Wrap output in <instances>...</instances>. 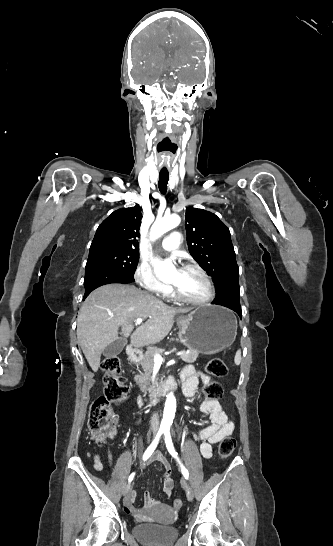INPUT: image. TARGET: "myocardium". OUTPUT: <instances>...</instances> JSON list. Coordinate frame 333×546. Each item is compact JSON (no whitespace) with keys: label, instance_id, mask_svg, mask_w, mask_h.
I'll return each instance as SVG.
<instances>
[{"label":"myocardium","instance_id":"1","mask_svg":"<svg viewBox=\"0 0 333 546\" xmlns=\"http://www.w3.org/2000/svg\"><path fill=\"white\" fill-rule=\"evenodd\" d=\"M184 270H193V271H196L197 273H199L201 275V277L204 279L207 287H208V295L205 297V298H202V299H190V298H187L185 297L184 295H182L179 290L173 286V289H172V293H173V296L184 302V303H188V304H191V305H205L207 303H209L210 301L213 300L214 296H215V286L210 278V276L208 275V273L199 265L197 264H187L184 266Z\"/></svg>","mask_w":333,"mask_h":546}]
</instances>
